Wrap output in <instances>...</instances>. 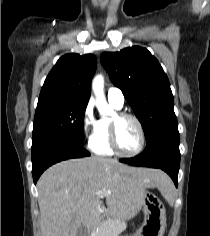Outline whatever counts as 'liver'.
I'll return each instance as SVG.
<instances>
[{"mask_svg": "<svg viewBox=\"0 0 210 236\" xmlns=\"http://www.w3.org/2000/svg\"><path fill=\"white\" fill-rule=\"evenodd\" d=\"M170 183L160 170L113 159L92 156L57 163L37 183L42 236H76L81 225L94 230L102 224V198L109 214L131 219L140 211L147 188L157 187L165 196Z\"/></svg>", "mask_w": 210, "mask_h": 236, "instance_id": "6515ba94", "label": "liver"}]
</instances>
